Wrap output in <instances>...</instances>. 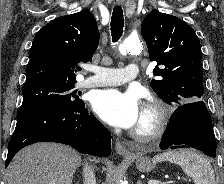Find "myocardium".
<instances>
[{
    "label": "myocardium",
    "instance_id": "obj_1",
    "mask_svg": "<svg viewBox=\"0 0 224 184\" xmlns=\"http://www.w3.org/2000/svg\"><path fill=\"white\" fill-rule=\"evenodd\" d=\"M143 111L149 115L150 123L145 129H133L132 136L141 142H150L161 138L170 121L169 109L163 103L151 100L144 104Z\"/></svg>",
    "mask_w": 224,
    "mask_h": 184
}]
</instances>
